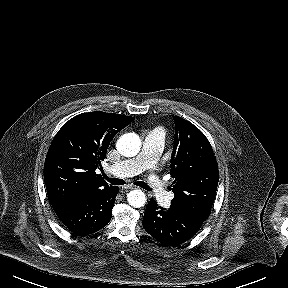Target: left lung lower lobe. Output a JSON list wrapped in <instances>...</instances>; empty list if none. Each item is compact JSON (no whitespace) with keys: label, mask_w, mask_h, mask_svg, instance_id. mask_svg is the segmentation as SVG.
<instances>
[{"label":"left lung lower lobe","mask_w":288,"mask_h":288,"mask_svg":"<svg viewBox=\"0 0 288 288\" xmlns=\"http://www.w3.org/2000/svg\"><path fill=\"white\" fill-rule=\"evenodd\" d=\"M204 220L170 207L164 209L151 199L146 207L143 227L153 238L167 246H176L191 239Z\"/></svg>","instance_id":"1"}]
</instances>
